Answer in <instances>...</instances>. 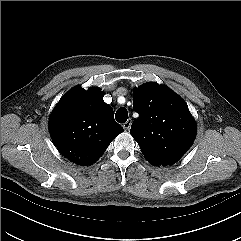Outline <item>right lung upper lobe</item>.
<instances>
[{
  "label": "right lung upper lobe",
  "mask_w": 241,
  "mask_h": 241,
  "mask_svg": "<svg viewBox=\"0 0 241 241\" xmlns=\"http://www.w3.org/2000/svg\"><path fill=\"white\" fill-rule=\"evenodd\" d=\"M49 131L59 152L79 165H91L124 129L114 120L113 109L99 88L77 86L56 105Z\"/></svg>",
  "instance_id": "1"
}]
</instances>
